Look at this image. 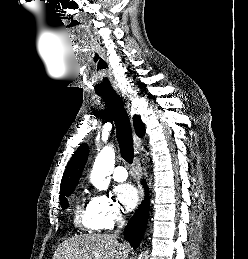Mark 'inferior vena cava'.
Returning <instances> with one entry per match:
<instances>
[{
	"label": "inferior vena cava",
	"mask_w": 248,
	"mask_h": 259,
	"mask_svg": "<svg viewBox=\"0 0 248 259\" xmlns=\"http://www.w3.org/2000/svg\"><path fill=\"white\" fill-rule=\"evenodd\" d=\"M117 222H118V228L121 229V228L123 227V225H124V220H123V218L121 217V215H119V216L117 217ZM118 232H119V230L116 231V234H118ZM116 234H115V235H116Z\"/></svg>",
	"instance_id": "602c4592"
}]
</instances>
